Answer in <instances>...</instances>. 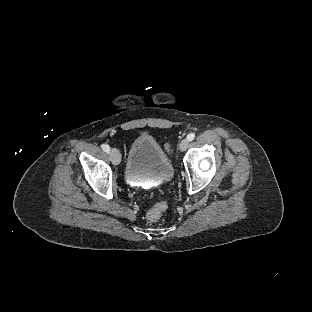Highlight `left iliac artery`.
Instances as JSON below:
<instances>
[{
	"mask_svg": "<svg viewBox=\"0 0 312 312\" xmlns=\"http://www.w3.org/2000/svg\"><path fill=\"white\" fill-rule=\"evenodd\" d=\"M194 138H195V134L194 133H190V134L187 135V139L189 141H192Z\"/></svg>",
	"mask_w": 312,
	"mask_h": 312,
	"instance_id": "44dca946",
	"label": "left iliac artery"
}]
</instances>
